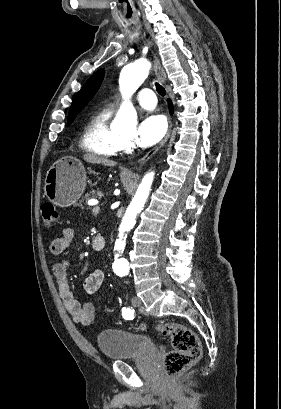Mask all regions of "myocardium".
I'll list each match as a JSON object with an SVG mask.
<instances>
[{"instance_id":"myocardium-1","label":"myocardium","mask_w":281,"mask_h":409,"mask_svg":"<svg viewBox=\"0 0 281 409\" xmlns=\"http://www.w3.org/2000/svg\"><path fill=\"white\" fill-rule=\"evenodd\" d=\"M115 138L119 150H127L130 147L131 142L123 138L119 133L115 132Z\"/></svg>"}]
</instances>
